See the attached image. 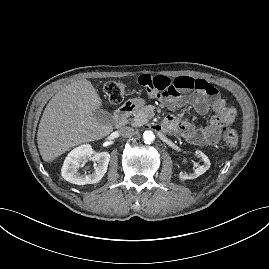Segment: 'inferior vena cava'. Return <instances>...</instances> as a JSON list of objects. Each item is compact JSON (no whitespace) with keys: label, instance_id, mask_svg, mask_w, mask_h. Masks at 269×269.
<instances>
[{"label":"inferior vena cava","instance_id":"inferior-vena-cava-1","mask_svg":"<svg viewBox=\"0 0 269 269\" xmlns=\"http://www.w3.org/2000/svg\"><path fill=\"white\" fill-rule=\"evenodd\" d=\"M120 134L123 137L131 138L135 134V130L132 127H123L120 130Z\"/></svg>","mask_w":269,"mask_h":269}]
</instances>
